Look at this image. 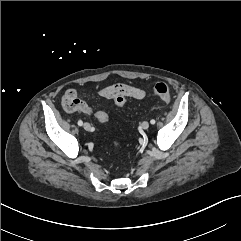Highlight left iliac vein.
I'll use <instances>...</instances> for the list:
<instances>
[{
  "mask_svg": "<svg viewBox=\"0 0 241 241\" xmlns=\"http://www.w3.org/2000/svg\"><path fill=\"white\" fill-rule=\"evenodd\" d=\"M141 127L144 130L148 129L149 128V122H147V121L142 122Z\"/></svg>",
  "mask_w": 241,
  "mask_h": 241,
  "instance_id": "left-iliac-vein-1",
  "label": "left iliac vein"
}]
</instances>
